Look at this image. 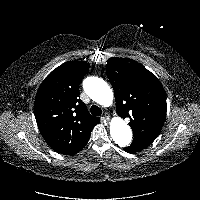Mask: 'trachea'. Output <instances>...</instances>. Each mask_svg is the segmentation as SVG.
Wrapping results in <instances>:
<instances>
[{"label":"trachea","instance_id":"obj_1","mask_svg":"<svg viewBox=\"0 0 200 200\" xmlns=\"http://www.w3.org/2000/svg\"><path fill=\"white\" fill-rule=\"evenodd\" d=\"M90 112H91V114L94 115V116H100V115L102 114L101 108H99V107L96 106V105H92V106H91Z\"/></svg>","mask_w":200,"mask_h":200}]
</instances>
